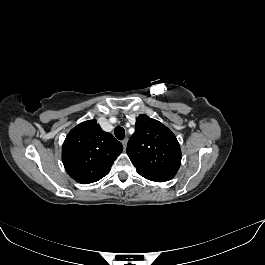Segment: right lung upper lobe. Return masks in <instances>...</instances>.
<instances>
[{
	"instance_id": "cb5924a9",
	"label": "right lung upper lobe",
	"mask_w": 265,
	"mask_h": 265,
	"mask_svg": "<svg viewBox=\"0 0 265 265\" xmlns=\"http://www.w3.org/2000/svg\"><path fill=\"white\" fill-rule=\"evenodd\" d=\"M122 150V144L93 119L68 133L62 147V161L74 180L88 184L106 176Z\"/></svg>"
}]
</instances>
